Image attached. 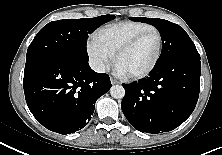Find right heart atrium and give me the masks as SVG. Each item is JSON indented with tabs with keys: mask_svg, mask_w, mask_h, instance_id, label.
Returning <instances> with one entry per match:
<instances>
[{
	"mask_svg": "<svg viewBox=\"0 0 222 155\" xmlns=\"http://www.w3.org/2000/svg\"><path fill=\"white\" fill-rule=\"evenodd\" d=\"M87 52L94 70L104 72L114 59V53L104 44L98 34L87 41Z\"/></svg>",
	"mask_w": 222,
	"mask_h": 155,
	"instance_id": "obj_1",
	"label": "right heart atrium"
}]
</instances>
